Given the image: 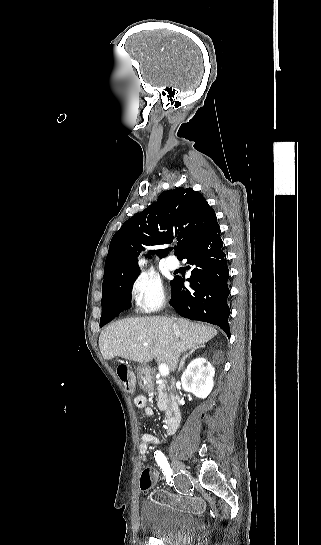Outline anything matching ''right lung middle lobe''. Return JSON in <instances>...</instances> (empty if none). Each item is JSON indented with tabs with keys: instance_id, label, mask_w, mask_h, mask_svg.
I'll list each match as a JSON object with an SVG mask.
<instances>
[{
	"instance_id": "obj_1",
	"label": "right lung middle lobe",
	"mask_w": 321,
	"mask_h": 545,
	"mask_svg": "<svg viewBox=\"0 0 321 545\" xmlns=\"http://www.w3.org/2000/svg\"><path fill=\"white\" fill-rule=\"evenodd\" d=\"M139 272L127 276L117 287L107 290H102V306L111 295H130L132 286L137 279ZM104 326V317L101 316L100 327Z\"/></svg>"
}]
</instances>
